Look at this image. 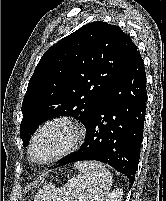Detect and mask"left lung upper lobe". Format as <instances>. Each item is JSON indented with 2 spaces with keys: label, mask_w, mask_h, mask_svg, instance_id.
<instances>
[{
  "label": "left lung upper lobe",
  "mask_w": 166,
  "mask_h": 201,
  "mask_svg": "<svg viewBox=\"0 0 166 201\" xmlns=\"http://www.w3.org/2000/svg\"><path fill=\"white\" fill-rule=\"evenodd\" d=\"M136 52L129 35L101 21L82 26L50 47L23 99V145L38 125L54 117L70 115L86 126Z\"/></svg>",
  "instance_id": "obj_1"
}]
</instances>
